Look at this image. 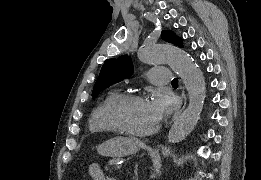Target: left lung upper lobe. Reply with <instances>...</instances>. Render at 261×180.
I'll return each instance as SVG.
<instances>
[{"label": "left lung upper lobe", "mask_w": 261, "mask_h": 180, "mask_svg": "<svg viewBox=\"0 0 261 180\" xmlns=\"http://www.w3.org/2000/svg\"><path fill=\"white\" fill-rule=\"evenodd\" d=\"M162 38L169 43L183 47L182 39L177 37L174 32L170 30L162 31ZM132 73L133 65L129 57L121 56L117 59L106 60L94 85L92 96L96 97L102 89L122 81Z\"/></svg>", "instance_id": "left-lung-upper-lobe-1"}]
</instances>
